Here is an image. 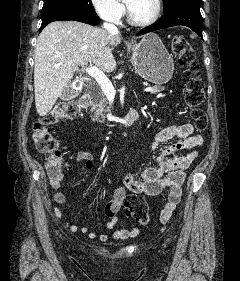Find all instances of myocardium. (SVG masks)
Segmentation results:
<instances>
[{
	"label": "myocardium",
	"instance_id": "obj_1",
	"mask_svg": "<svg viewBox=\"0 0 240 281\" xmlns=\"http://www.w3.org/2000/svg\"><path fill=\"white\" fill-rule=\"evenodd\" d=\"M154 4H155V8H154V12H153L152 16L150 18H148L147 20H142V21L135 20L132 17L130 10L127 6L126 13H127L128 23L135 27H147V26L154 24L160 17L161 10H162V0H154Z\"/></svg>",
	"mask_w": 240,
	"mask_h": 281
}]
</instances>
